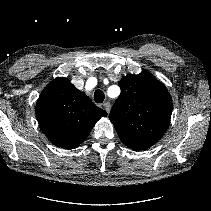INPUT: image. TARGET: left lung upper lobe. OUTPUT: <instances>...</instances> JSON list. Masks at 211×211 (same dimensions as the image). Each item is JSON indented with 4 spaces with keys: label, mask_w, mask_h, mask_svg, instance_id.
I'll return each instance as SVG.
<instances>
[{
    "label": "left lung upper lobe",
    "mask_w": 211,
    "mask_h": 211,
    "mask_svg": "<svg viewBox=\"0 0 211 211\" xmlns=\"http://www.w3.org/2000/svg\"><path fill=\"white\" fill-rule=\"evenodd\" d=\"M121 93L110 112L120 140L138 151L153 146L167 130L172 99L167 88L148 72L123 77Z\"/></svg>",
    "instance_id": "obj_1"
}]
</instances>
